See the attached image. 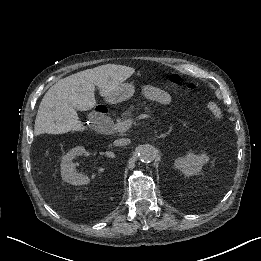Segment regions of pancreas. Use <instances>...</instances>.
Here are the masks:
<instances>
[{
  "mask_svg": "<svg viewBox=\"0 0 261 261\" xmlns=\"http://www.w3.org/2000/svg\"><path fill=\"white\" fill-rule=\"evenodd\" d=\"M145 109L146 106L144 104L132 105L131 107L125 106L119 113V116L124 121H130L133 118V114H140ZM115 125H120V119H115Z\"/></svg>",
  "mask_w": 261,
  "mask_h": 261,
  "instance_id": "cf45deb5",
  "label": "pancreas"
}]
</instances>
